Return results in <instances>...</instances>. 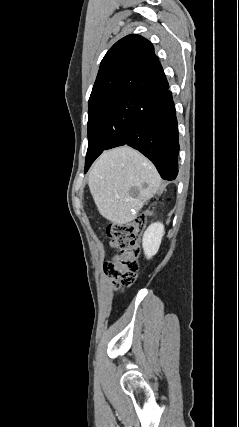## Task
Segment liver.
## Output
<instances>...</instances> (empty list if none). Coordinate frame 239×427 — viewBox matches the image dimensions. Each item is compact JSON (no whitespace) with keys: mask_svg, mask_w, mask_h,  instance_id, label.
<instances>
[{"mask_svg":"<svg viewBox=\"0 0 239 427\" xmlns=\"http://www.w3.org/2000/svg\"><path fill=\"white\" fill-rule=\"evenodd\" d=\"M88 185L99 213L120 225L134 220L144 203L163 191L154 165L129 146L104 152L91 167Z\"/></svg>","mask_w":239,"mask_h":427,"instance_id":"6515ba94","label":"liver"}]
</instances>
